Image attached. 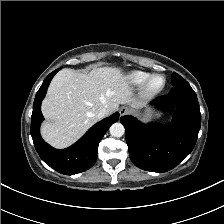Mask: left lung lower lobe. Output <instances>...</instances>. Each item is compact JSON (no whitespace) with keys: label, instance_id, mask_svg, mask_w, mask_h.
<instances>
[{"label":"left lung lower lobe","instance_id":"0a47b994","mask_svg":"<svg viewBox=\"0 0 224 224\" xmlns=\"http://www.w3.org/2000/svg\"><path fill=\"white\" fill-rule=\"evenodd\" d=\"M164 111H173L172 124H142L132 116H122L126 142L132 162L151 172H166L176 167L194 148L200 129L201 114L197 96L184 81L167 96L152 102Z\"/></svg>","mask_w":224,"mask_h":224}]
</instances>
